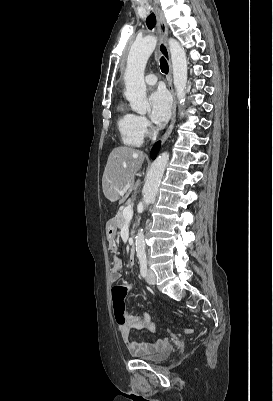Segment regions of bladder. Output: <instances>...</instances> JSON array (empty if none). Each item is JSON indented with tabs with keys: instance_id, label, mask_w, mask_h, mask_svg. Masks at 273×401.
I'll return each mask as SVG.
<instances>
[{
	"instance_id": "31cf9c89",
	"label": "bladder",
	"mask_w": 273,
	"mask_h": 401,
	"mask_svg": "<svg viewBox=\"0 0 273 401\" xmlns=\"http://www.w3.org/2000/svg\"><path fill=\"white\" fill-rule=\"evenodd\" d=\"M172 352V347L168 346L153 355H134V357L148 363H161L167 360L172 355Z\"/></svg>"
}]
</instances>
